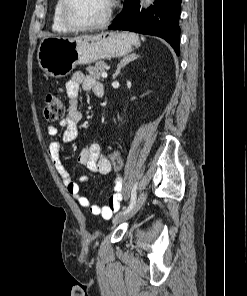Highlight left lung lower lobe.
Returning <instances> with one entry per match:
<instances>
[{
  "label": "left lung lower lobe",
  "mask_w": 247,
  "mask_h": 296,
  "mask_svg": "<svg viewBox=\"0 0 247 296\" xmlns=\"http://www.w3.org/2000/svg\"><path fill=\"white\" fill-rule=\"evenodd\" d=\"M180 6L181 0H155L154 5L140 12L139 0H125L122 11L108 28L161 37L179 55Z\"/></svg>",
  "instance_id": "1"
}]
</instances>
